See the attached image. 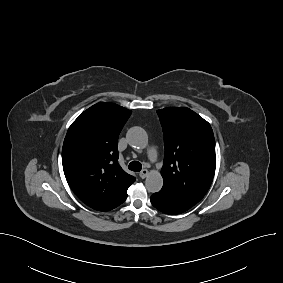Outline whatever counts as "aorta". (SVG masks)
Here are the masks:
<instances>
[{"label":"aorta","instance_id":"aorta-1","mask_svg":"<svg viewBox=\"0 0 283 283\" xmlns=\"http://www.w3.org/2000/svg\"><path fill=\"white\" fill-rule=\"evenodd\" d=\"M127 140L134 148H146L148 145V135L146 131L138 126L132 127L127 132ZM146 189L152 193L159 192L163 186V178L159 172H150L145 180Z\"/></svg>","mask_w":283,"mask_h":283}]
</instances>
